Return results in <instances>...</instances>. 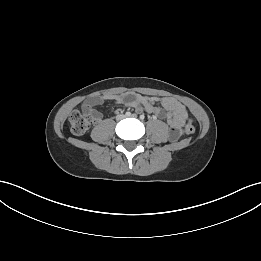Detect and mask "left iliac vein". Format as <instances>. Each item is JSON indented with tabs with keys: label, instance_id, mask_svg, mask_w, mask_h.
<instances>
[{
	"label": "left iliac vein",
	"instance_id": "1",
	"mask_svg": "<svg viewBox=\"0 0 261 261\" xmlns=\"http://www.w3.org/2000/svg\"><path fill=\"white\" fill-rule=\"evenodd\" d=\"M132 118H137L136 114L131 115Z\"/></svg>",
	"mask_w": 261,
	"mask_h": 261
}]
</instances>
